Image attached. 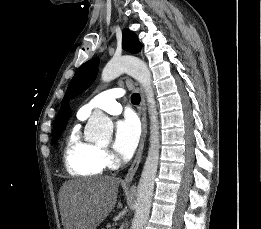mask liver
I'll use <instances>...</instances> for the list:
<instances>
[{
	"label": "liver",
	"mask_w": 261,
	"mask_h": 229,
	"mask_svg": "<svg viewBox=\"0 0 261 229\" xmlns=\"http://www.w3.org/2000/svg\"><path fill=\"white\" fill-rule=\"evenodd\" d=\"M120 179L93 177L64 185V225L66 229H96L116 205Z\"/></svg>",
	"instance_id": "1"
}]
</instances>
